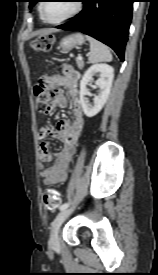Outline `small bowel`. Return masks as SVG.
I'll return each mask as SVG.
<instances>
[{
  "instance_id": "obj_1",
  "label": "small bowel",
  "mask_w": 158,
  "mask_h": 275,
  "mask_svg": "<svg viewBox=\"0 0 158 275\" xmlns=\"http://www.w3.org/2000/svg\"><path fill=\"white\" fill-rule=\"evenodd\" d=\"M79 79V72L66 66L62 75L45 76L41 80L48 88L55 91L52 108L69 106L73 115L72 122L60 120L55 129L45 125L38 132L40 162L42 164L52 162L51 166L42 165L40 168V177L46 185H55L65 181L67 167L76 151L77 141L84 127V114L78 93ZM62 89L66 91V96L61 92ZM49 135H53L63 144L62 150L57 154L49 151L46 141Z\"/></svg>"
}]
</instances>
